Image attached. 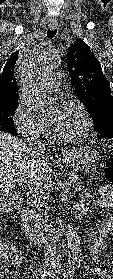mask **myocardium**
I'll return each instance as SVG.
<instances>
[{
	"instance_id": "myocardium-1",
	"label": "myocardium",
	"mask_w": 113,
	"mask_h": 279,
	"mask_svg": "<svg viewBox=\"0 0 113 279\" xmlns=\"http://www.w3.org/2000/svg\"><path fill=\"white\" fill-rule=\"evenodd\" d=\"M65 106L75 107L79 111L82 117L83 127L79 133L75 135H68V136L61 135L56 130H53L55 137L65 142H76L86 138L91 132L93 126L89 112L84 107V105L77 100H73V99L67 100L64 103V107Z\"/></svg>"
}]
</instances>
